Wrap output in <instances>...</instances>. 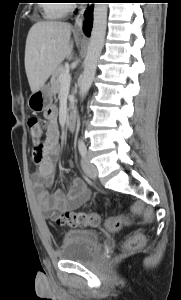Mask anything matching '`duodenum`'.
Wrapping results in <instances>:
<instances>
[{"label": "duodenum", "mask_w": 181, "mask_h": 300, "mask_svg": "<svg viewBox=\"0 0 181 300\" xmlns=\"http://www.w3.org/2000/svg\"><path fill=\"white\" fill-rule=\"evenodd\" d=\"M77 116L74 110H70L67 117V128L69 131H74L76 127Z\"/></svg>", "instance_id": "1"}]
</instances>
